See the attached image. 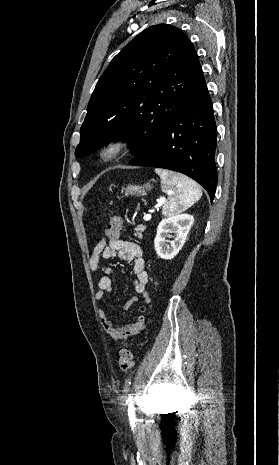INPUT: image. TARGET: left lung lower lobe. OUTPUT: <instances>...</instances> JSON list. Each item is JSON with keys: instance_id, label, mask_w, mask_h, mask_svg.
<instances>
[{"instance_id": "1", "label": "left lung lower lobe", "mask_w": 279, "mask_h": 465, "mask_svg": "<svg viewBox=\"0 0 279 465\" xmlns=\"http://www.w3.org/2000/svg\"><path fill=\"white\" fill-rule=\"evenodd\" d=\"M216 124L212 101L200 67L184 105L155 143L130 164L174 170L202 185L213 200Z\"/></svg>"}]
</instances>
